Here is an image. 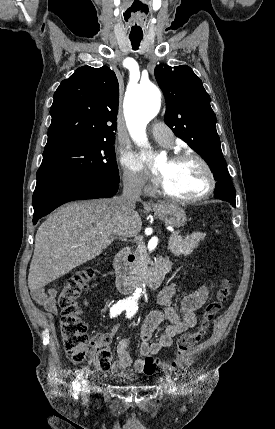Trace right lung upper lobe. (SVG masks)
Wrapping results in <instances>:
<instances>
[{"instance_id": "obj_1", "label": "right lung upper lobe", "mask_w": 275, "mask_h": 429, "mask_svg": "<svg viewBox=\"0 0 275 429\" xmlns=\"http://www.w3.org/2000/svg\"><path fill=\"white\" fill-rule=\"evenodd\" d=\"M119 85L109 67L78 68L54 93L45 151L68 144L111 140L116 130Z\"/></svg>"}]
</instances>
